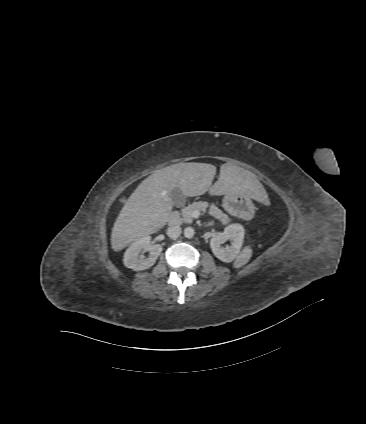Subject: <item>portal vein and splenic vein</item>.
I'll list each match as a JSON object with an SVG mask.
<instances>
[{
	"label": "portal vein and splenic vein",
	"mask_w": 366,
	"mask_h": 424,
	"mask_svg": "<svg viewBox=\"0 0 366 424\" xmlns=\"http://www.w3.org/2000/svg\"><path fill=\"white\" fill-rule=\"evenodd\" d=\"M199 211H193L192 213H191V216L192 217H194V218H197V217H199Z\"/></svg>",
	"instance_id": "18ae733b"
}]
</instances>
